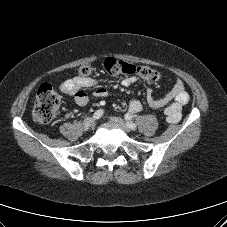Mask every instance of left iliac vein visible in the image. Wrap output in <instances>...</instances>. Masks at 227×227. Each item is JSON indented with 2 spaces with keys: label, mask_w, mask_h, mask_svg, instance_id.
<instances>
[{
  "label": "left iliac vein",
  "mask_w": 227,
  "mask_h": 227,
  "mask_svg": "<svg viewBox=\"0 0 227 227\" xmlns=\"http://www.w3.org/2000/svg\"><path fill=\"white\" fill-rule=\"evenodd\" d=\"M110 120L120 126L124 131L130 132L131 129L126 125V123L120 117H111Z\"/></svg>",
  "instance_id": "1"
}]
</instances>
